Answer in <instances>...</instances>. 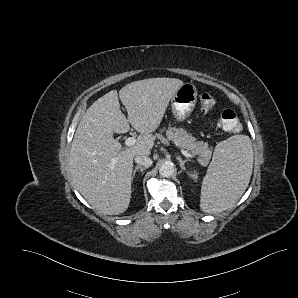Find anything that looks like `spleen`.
Listing matches in <instances>:
<instances>
[{
    "label": "spleen",
    "mask_w": 298,
    "mask_h": 298,
    "mask_svg": "<svg viewBox=\"0 0 298 298\" xmlns=\"http://www.w3.org/2000/svg\"><path fill=\"white\" fill-rule=\"evenodd\" d=\"M254 151L247 135H233L217 143L203 179L200 209L220 213L243 195L253 170Z\"/></svg>",
    "instance_id": "spleen-1"
}]
</instances>
